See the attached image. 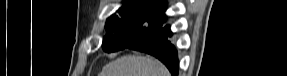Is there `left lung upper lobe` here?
I'll return each instance as SVG.
<instances>
[{
    "instance_id": "left-lung-upper-lobe-1",
    "label": "left lung upper lobe",
    "mask_w": 287,
    "mask_h": 76,
    "mask_svg": "<svg viewBox=\"0 0 287 76\" xmlns=\"http://www.w3.org/2000/svg\"><path fill=\"white\" fill-rule=\"evenodd\" d=\"M165 9L164 0H124L118 15L107 19L105 28L109 34L103 40V49L121 50L162 27Z\"/></svg>"
}]
</instances>
